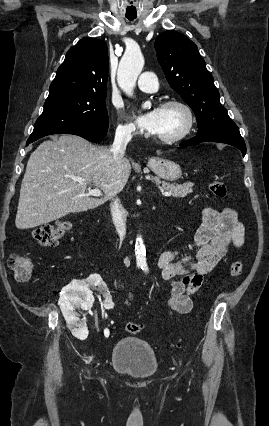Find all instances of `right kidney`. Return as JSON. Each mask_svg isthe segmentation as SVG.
Returning a JSON list of instances; mask_svg holds the SVG:
<instances>
[{
	"mask_svg": "<svg viewBox=\"0 0 269 426\" xmlns=\"http://www.w3.org/2000/svg\"><path fill=\"white\" fill-rule=\"evenodd\" d=\"M96 286L97 289H105L106 286L102 281L101 277L97 275L90 276L89 278L81 281H69L67 286H62L60 288V293L62 294L59 305L63 316L68 324V327L77 325L79 318L75 312V308L81 307L84 309H89L93 302L94 298L90 287ZM101 309L103 311H112L114 309V304L110 296H106L101 304ZM80 327V336L85 338L88 335L86 323L78 324Z\"/></svg>",
	"mask_w": 269,
	"mask_h": 426,
	"instance_id": "ca27d5eb",
	"label": "right kidney"
}]
</instances>
